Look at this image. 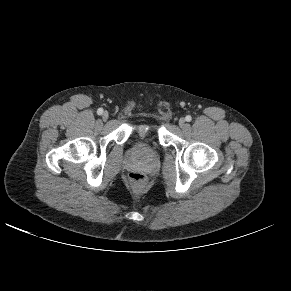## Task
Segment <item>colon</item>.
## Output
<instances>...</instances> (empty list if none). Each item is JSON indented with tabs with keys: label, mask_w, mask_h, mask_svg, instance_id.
<instances>
[{
	"label": "colon",
	"mask_w": 291,
	"mask_h": 291,
	"mask_svg": "<svg viewBox=\"0 0 291 291\" xmlns=\"http://www.w3.org/2000/svg\"><path fill=\"white\" fill-rule=\"evenodd\" d=\"M129 179L136 185H143L146 182L147 177L142 173L133 172L129 174Z\"/></svg>",
	"instance_id": "colon-1"
}]
</instances>
